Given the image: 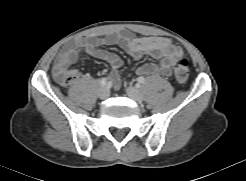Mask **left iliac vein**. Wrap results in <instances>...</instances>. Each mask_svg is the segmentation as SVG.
I'll return each instance as SVG.
<instances>
[{"label": "left iliac vein", "mask_w": 246, "mask_h": 181, "mask_svg": "<svg viewBox=\"0 0 246 181\" xmlns=\"http://www.w3.org/2000/svg\"><path fill=\"white\" fill-rule=\"evenodd\" d=\"M126 94L136 102L141 103L144 99L143 93L136 87H127Z\"/></svg>", "instance_id": "left-iliac-vein-1"}]
</instances>
